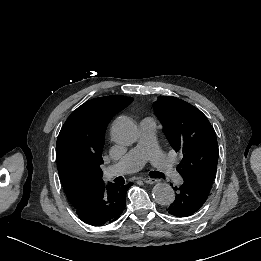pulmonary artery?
I'll return each mask as SVG.
<instances>
[{
	"instance_id": "1",
	"label": "pulmonary artery",
	"mask_w": 261,
	"mask_h": 261,
	"mask_svg": "<svg viewBox=\"0 0 261 261\" xmlns=\"http://www.w3.org/2000/svg\"><path fill=\"white\" fill-rule=\"evenodd\" d=\"M147 159H152L159 167L161 174L166 175V182L170 186H177L181 182V175L174 171V164L166 153H161L156 142V123L151 118L139 121V136L137 144L131 148L115 165L104 170L106 179L131 173L142 167Z\"/></svg>"
}]
</instances>
